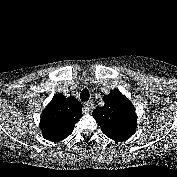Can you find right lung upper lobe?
<instances>
[{"label": "right lung upper lobe", "instance_id": "1", "mask_svg": "<svg viewBox=\"0 0 177 177\" xmlns=\"http://www.w3.org/2000/svg\"><path fill=\"white\" fill-rule=\"evenodd\" d=\"M82 116V106L74 97L58 93L41 115L40 128L44 138L58 142L68 137Z\"/></svg>", "mask_w": 177, "mask_h": 177}]
</instances>
